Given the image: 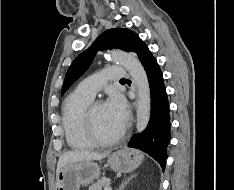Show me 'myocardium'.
Listing matches in <instances>:
<instances>
[{"instance_id": "obj_1", "label": "myocardium", "mask_w": 234, "mask_h": 190, "mask_svg": "<svg viewBox=\"0 0 234 190\" xmlns=\"http://www.w3.org/2000/svg\"><path fill=\"white\" fill-rule=\"evenodd\" d=\"M103 101L102 100H94L92 101L86 108L84 112V120H85V127L88 136L90 139L94 142L96 145H102V146H107V145H112L116 142H118L123 135L125 134V127H122L119 132H117L115 135L111 137H102L98 134L96 127H95V122H94V111L95 109L102 105Z\"/></svg>"}]
</instances>
